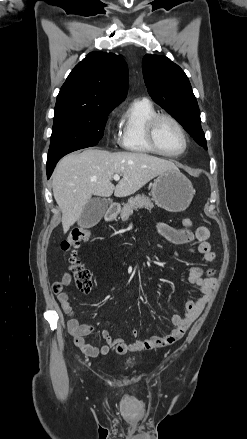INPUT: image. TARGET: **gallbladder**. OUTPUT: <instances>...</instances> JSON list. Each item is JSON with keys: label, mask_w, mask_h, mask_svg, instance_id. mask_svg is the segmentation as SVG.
<instances>
[{"label": "gallbladder", "mask_w": 247, "mask_h": 439, "mask_svg": "<svg viewBox=\"0 0 247 439\" xmlns=\"http://www.w3.org/2000/svg\"><path fill=\"white\" fill-rule=\"evenodd\" d=\"M108 203L106 199L101 197L91 198L85 205L78 219V225L81 228H91L95 226L105 214Z\"/></svg>", "instance_id": "1"}]
</instances>
